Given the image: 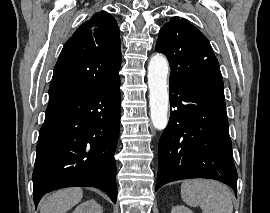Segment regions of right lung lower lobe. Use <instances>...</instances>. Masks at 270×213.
<instances>
[{"label": "right lung lower lobe", "instance_id": "right-lung-lower-lobe-1", "mask_svg": "<svg viewBox=\"0 0 270 213\" xmlns=\"http://www.w3.org/2000/svg\"><path fill=\"white\" fill-rule=\"evenodd\" d=\"M120 79L100 89L49 102L33 171L34 203L56 189L97 187L116 203Z\"/></svg>", "mask_w": 270, "mask_h": 213}]
</instances>
